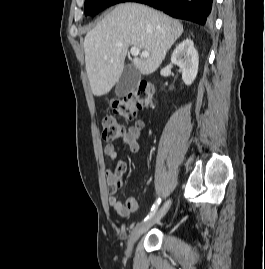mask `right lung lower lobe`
Segmentation results:
<instances>
[{
	"label": "right lung lower lobe",
	"mask_w": 265,
	"mask_h": 269,
	"mask_svg": "<svg viewBox=\"0 0 265 269\" xmlns=\"http://www.w3.org/2000/svg\"><path fill=\"white\" fill-rule=\"evenodd\" d=\"M150 5L179 19L205 24L211 12L213 0H127Z\"/></svg>",
	"instance_id": "1"
}]
</instances>
